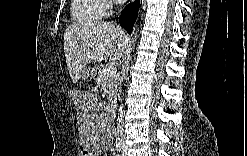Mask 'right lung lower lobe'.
<instances>
[{"mask_svg":"<svg viewBox=\"0 0 247 156\" xmlns=\"http://www.w3.org/2000/svg\"><path fill=\"white\" fill-rule=\"evenodd\" d=\"M139 9V0L128 4L121 12L119 23L129 34L132 33L137 13Z\"/></svg>","mask_w":247,"mask_h":156,"instance_id":"right-lung-lower-lobe-1","label":"right lung lower lobe"}]
</instances>
